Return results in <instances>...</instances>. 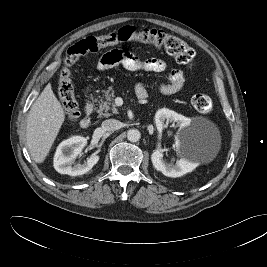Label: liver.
I'll return each instance as SVG.
<instances>
[{"instance_id": "obj_1", "label": "liver", "mask_w": 267, "mask_h": 267, "mask_svg": "<svg viewBox=\"0 0 267 267\" xmlns=\"http://www.w3.org/2000/svg\"><path fill=\"white\" fill-rule=\"evenodd\" d=\"M65 121V113L48 83L30 108L27 126V147L36 163H43Z\"/></svg>"}]
</instances>
